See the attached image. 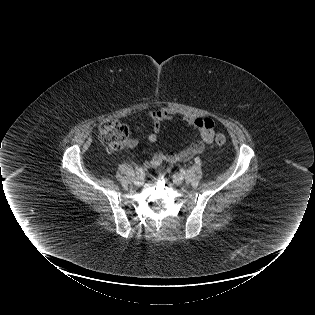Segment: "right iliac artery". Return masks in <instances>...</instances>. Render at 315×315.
Here are the masks:
<instances>
[{
    "label": "right iliac artery",
    "mask_w": 315,
    "mask_h": 315,
    "mask_svg": "<svg viewBox=\"0 0 315 315\" xmlns=\"http://www.w3.org/2000/svg\"><path fill=\"white\" fill-rule=\"evenodd\" d=\"M136 174H137V175H142V174H143V169H142V168H138V169L136 170Z\"/></svg>",
    "instance_id": "obj_1"
}]
</instances>
